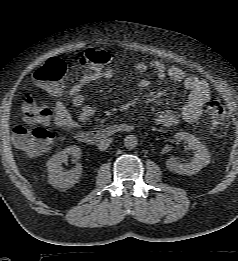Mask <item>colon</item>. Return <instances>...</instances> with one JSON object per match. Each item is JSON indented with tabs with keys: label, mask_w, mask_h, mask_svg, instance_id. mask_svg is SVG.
I'll use <instances>...</instances> for the list:
<instances>
[{
	"label": "colon",
	"mask_w": 238,
	"mask_h": 261,
	"mask_svg": "<svg viewBox=\"0 0 238 261\" xmlns=\"http://www.w3.org/2000/svg\"><path fill=\"white\" fill-rule=\"evenodd\" d=\"M110 60L104 50H88L79 58V64L89 71H99ZM66 74V64L58 58L49 59L33 74L35 83L51 93H59L62 80ZM25 125L14 128L12 139L16 147L26 155H40L53 141L54 134L47 126L50 122V110L39 103L31 95H27L23 103ZM229 119L227 106L214 99L207 106V120L210 130L215 136L226 133Z\"/></svg>",
	"instance_id": "1"
}]
</instances>
